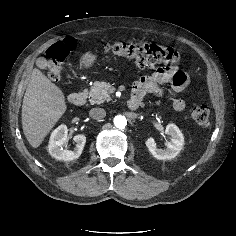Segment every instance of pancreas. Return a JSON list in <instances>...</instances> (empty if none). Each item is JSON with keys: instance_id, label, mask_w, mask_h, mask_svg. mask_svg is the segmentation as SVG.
Instances as JSON below:
<instances>
[{"instance_id": "1", "label": "pancreas", "mask_w": 236, "mask_h": 236, "mask_svg": "<svg viewBox=\"0 0 236 236\" xmlns=\"http://www.w3.org/2000/svg\"><path fill=\"white\" fill-rule=\"evenodd\" d=\"M111 84L104 81H96L89 91V101L91 104H101L110 101Z\"/></svg>"}]
</instances>
